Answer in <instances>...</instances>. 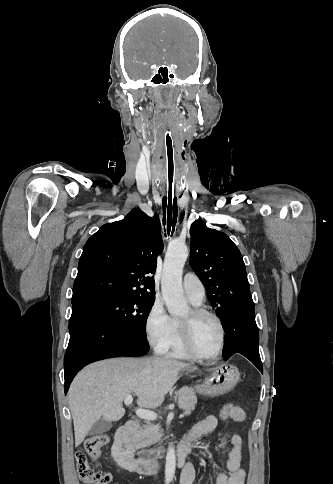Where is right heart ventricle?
<instances>
[{"label": "right heart ventricle", "instance_id": "e07e8e85", "mask_svg": "<svg viewBox=\"0 0 333 484\" xmlns=\"http://www.w3.org/2000/svg\"><path fill=\"white\" fill-rule=\"evenodd\" d=\"M192 304L195 306H199L200 304L191 301ZM161 354L174 358V359H192L193 357L188 353L186 350L181 334H180V326H179V319L171 318V331L169 341L166 347L163 349Z\"/></svg>", "mask_w": 333, "mask_h": 484}]
</instances>
